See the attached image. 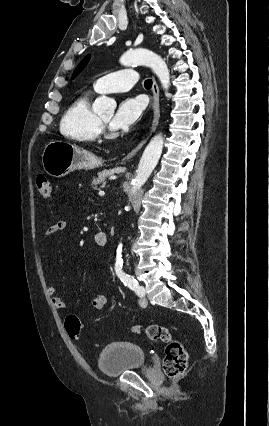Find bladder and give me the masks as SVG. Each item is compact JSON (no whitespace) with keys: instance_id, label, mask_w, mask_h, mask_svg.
<instances>
[{"instance_id":"1","label":"bladder","mask_w":269,"mask_h":426,"mask_svg":"<svg viewBox=\"0 0 269 426\" xmlns=\"http://www.w3.org/2000/svg\"><path fill=\"white\" fill-rule=\"evenodd\" d=\"M100 370L109 377H117L146 364V354L131 342H114L105 347L97 359Z\"/></svg>"}]
</instances>
